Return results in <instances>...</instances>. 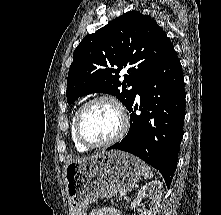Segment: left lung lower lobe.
Here are the masks:
<instances>
[{
  "instance_id": "left-lung-lower-lobe-1",
  "label": "left lung lower lobe",
  "mask_w": 221,
  "mask_h": 215,
  "mask_svg": "<svg viewBox=\"0 0 221 215\" xmlns=\"http://www.w3.org/2000/svg\"><path fill=\"white\" fill-rule=\"evenodd\" d=\"M128 111L130 129L125 138L108 149L132 153L163 175L170 186L177 165L185 112L184 77L171 45L159 65L141 82ZM136 97V96H135ZM139 108L141 113L136 114Z\"/></svg>"
}]
</instances>
